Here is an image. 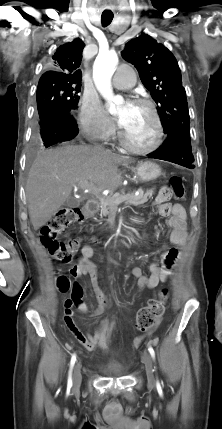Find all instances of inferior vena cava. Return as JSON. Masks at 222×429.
<instances>
[{"instance_id": "1", "label": "inferior vena cava", "mask_w": 222, "mask_h": 429, "mask_svg": "<svg viewBox=\"0 0 222 429\" xmlns=\"http://www.w3.org/2000/svg\"><path fill=\"white\" fill-rule=\"evenodd\" d=\"M94 147H95V148H101V146H99V145H95Z\"/></svg>"}]
</instances>
